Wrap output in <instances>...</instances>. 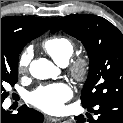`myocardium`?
<instances>
[{"instance_id":"myocardium-1","label":"myocardium","mask_w":123,"mask_h":123,"mask_svg":"<svg viewBox=\"0 0 123 123\" xmlns=\"http://www.w3.org/2000/svg\"><path fill=\"white\" fill-rule=\"evenodd\" d=\"M90 67V60L85 56L77 57L69 64L70 72L78 82H83L87 79L90 73Z\"/></svg>"}]
</instances>
